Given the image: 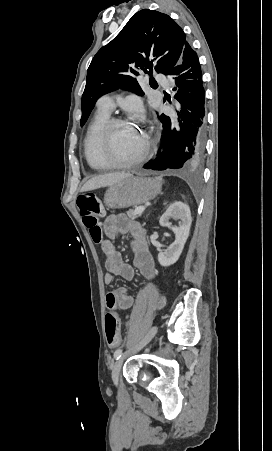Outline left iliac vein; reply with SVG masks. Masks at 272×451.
Wrapping results in <instances>:
<instances>
[{
    "label": "left iliac vein",
    "mask_w": 272,
    "mask_h": 451,
    "mask_svg": "<svg viewBox=\"0 0 272 451\" xmlns=\"http://www.w3.org/2000/svg\"><path fill=\"white\" fill-rule=\"evenodd\" d=\"M156 333H157V327L153 326L149 330V332L147 333L145 338L143 339L140 347H143L146 344H148L152 340V338L156 335ZM122 364H123V358H120L112 365V380L114 383L118 382Z\"/></svg>",
    "instance_id": "1"
}]
</instances>
